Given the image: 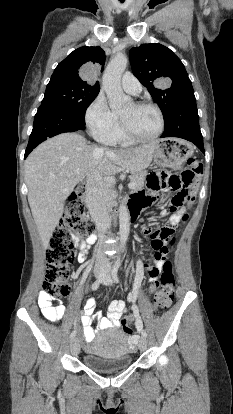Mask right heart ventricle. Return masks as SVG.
<instances>
[{"label":"right heart ventricle","instance_id":"1","mask_svg":"<svg viewBox=\"0 0 233 414\" xmlns=\"http://www.w3.org/2000/svg\"><path fill=\"white\" fill-rule=\"evenodd\" d=\"M109 144L113 145H120V146H131L134 144V141L130 140L122 131L120 123L118 121V124L115 128L112 141Z\"/></svg>","mask_w":233,"mask_h":414}]
</instances>
